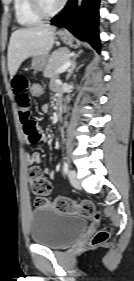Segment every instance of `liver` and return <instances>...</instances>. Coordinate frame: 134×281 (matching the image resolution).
<instances>
[{
  "instance_id": "6515ba94",
  "label": "liver",
  "mask_w": 134,
  "mask_h": 281,
  "mask_svg": "<svg viewBox=\"0 0 134 281\" xmlns=\"http://www.w3.org/2000/svg\"><path fill=\"white\" fill-rule=\"evenodd\" d=\"M56 27L37 24L14 31L8 46V70L12 78L29 57L47 56L53 47Z\"/></svg>"
}]
</instances>
